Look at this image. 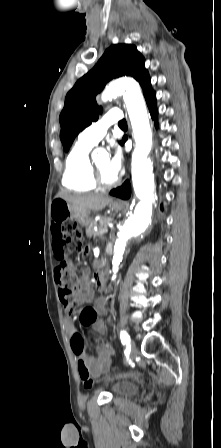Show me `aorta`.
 Wrapping results in <instances>:
<instances>
[{"label":"aorta","instance_id":"1","mask_svg":"<svg viewBox=\"0 0 221 448\" xmlns=\"http://www.w3.org/2000/svg\"><path fill=\"white\" fill-rule=\"evenodd\" d=\"M118 95H123L136 143L132 154L131 173L134 192L140 201L117 234L112 255L114 276L123 259L127 241L143 232L151 220L155 187L153 166L148 159L152 148V131L140 87L132 79H119L105 88L101 98L103 102H107Z\"/></svg>","mask_w":221,"mask_h":448}]
</instances>
